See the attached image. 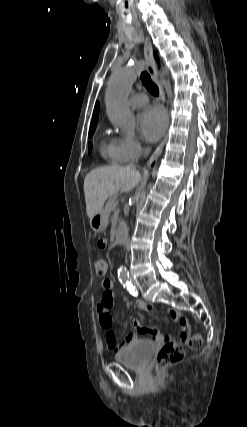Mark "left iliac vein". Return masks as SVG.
I'll return each mask as SVG.
<instances>
[{
    "instance_id": "4c4485c4",
    "label": "left iliac vein",
    "mask_w": 247,
    "mask_h": 427,
    "mask_svg": "<svg viewBox=\"0 0 247 427\" xmlns=\"http://www.w3.org/2000/svg\"><path fill=\"white\" fill-rule=\"evenodd\" d=\"M131 281H132V284L134 285V287L136 288L137 287L136 282L133 279H131Z\"/></svg>"
}]
</instances>
